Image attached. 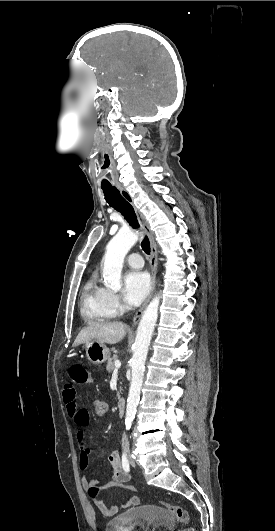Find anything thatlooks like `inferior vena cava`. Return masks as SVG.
Here are the masks:
<instances>
[{"mask_svg": "<svg viewBox=\"0 0 275 531\" xmlns=\"http://www.w3.org/2000/svg\"><path fill=\"white\" fill-rule=\"evenodd\" d=\"M122 447L123 449H127V437L124 433V435H122Z\"/></svg>", "mask_w": 275, "mask_h": 531, "instance_id": "602c4592", "label": "inferior vena cava"}]
</instances>
